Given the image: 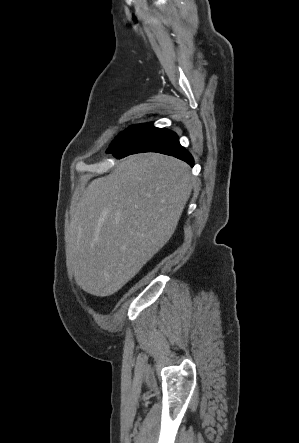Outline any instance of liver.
Listing matches in <instances>:
<instances>
[{"label": "liver", "mask_w": 299, "mask_h": 443, "mask_svg": "<svg viewBox=\"0 0 299 443\" xmlns=\"http://www.w3.org/2000/svg\"><path fill=\"white\" fill-rule=\"evenodd\" d=\"M191 191L188 164L158 153L129 156L90 182L71 212L76 284L99 297L121 289L172 237Z\"/></svg>", "instance_id": "6515ba94"}]
</instances>
